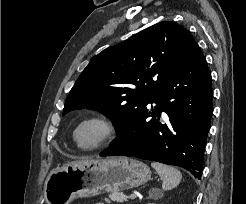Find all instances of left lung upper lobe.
Segmentation results:
<instances>
[{
    "mask_svg": "<svg viewBox=\"0 0 246 204\" xmlns=\"http://www.w3.org/2000/svg\"><path fill=\"white\" fill-rule=\"evenodd\" d=\"M196 46L187 29L167 21L105 49L91 59L77 79L63 115L74 109L98 110L112 120L118 134Z\"/></svg>",
    "mask_w": 246,
    "mask_h": 204,
    "instance_id": "5c2ea615",
    "label": "left lung upper lobe"
}]
</instances>
